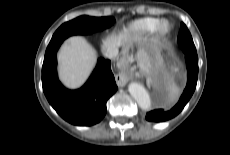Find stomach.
Returning <instances> with one entry per match:
<instances>
[{
  "label": "stomach",
  "mask_w": 230,
  "mask_h": 155,
  "mask_svg": "<svg viewBox=\"0 0 230 155\" xmlns=\"http://www.w3.org/2000/svg\"><path fill=\"white\" fill-rule=\"evenodd\" d=\"M157 51L156 46L153 44L147 43L143 47L140 48L139 53L146 55V56H151Z\"/></svg>",
  "instance_id": "obj_1"
}]
</instances>
